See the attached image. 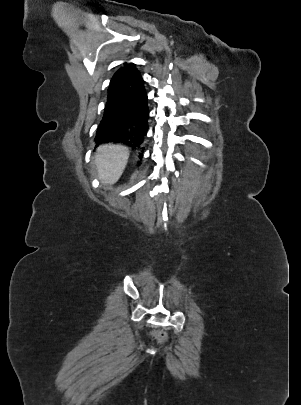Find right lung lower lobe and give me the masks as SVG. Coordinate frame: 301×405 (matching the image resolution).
Here are the masks:
<instances>
[{"label": "right lung lower lobe", "mask_w": 301, "mask_h": 405, "mask_svg": "<svg viewBox=\"0 0 301 405\" xmlns=\"http://www.w3.org/2000/svg\"><path fill=\"white\" fill-rule=\"evenodd\" d=\"M143 79L134 64L125 65L109 86L103 118L95 140L141 146L148 131L149 110Z\"/></svg>", "instance_id": "98d812e1"}]
</instances>
